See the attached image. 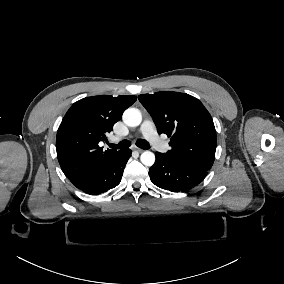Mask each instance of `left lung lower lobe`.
<instances>
[{
    "label": "left lung lower lobe",
    "mask_w": 284,
    "mask_h": 284,
    "mask_svg": "<svg viewBox=\"0 0 284 284\" xmlns=\"http://www.w3.org/2000/svg\"><path fill=\"white\" fill-rule=\"evenodd\" d=\"M156 161L149 169L151 181L158 187L172 192H187L206 177L208 170L169 159L156 152Z\"/></svg>",
    "instance_id": "obj_1"
}]
</instances>
